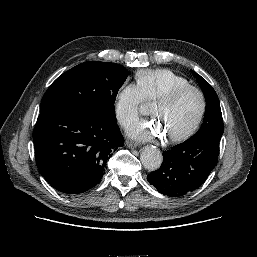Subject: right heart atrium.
<instances>
[{
  "label": "right heart atrium",
  "mask_w": 257,
  "mask_h": 257,
  "mask_svg": "<svg viewBox=\"0 0 257 257\" xmlns=\"http://www.w3.org/2000/svg\"><path fill=\"white\" fill-rule=\"evenodd\" d=\"M144 101L141 90L134 83H126L119 89L114 108L117 120L123 127L130 126L138 119Z\"/></svg>",
  "instance_id": "1"
}]
</instances>
